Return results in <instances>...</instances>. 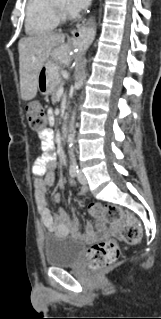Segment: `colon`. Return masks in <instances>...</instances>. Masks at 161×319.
Segmentation results:
<instances>
[{
  "label": "colon",
  "instance_id": "colon-1",
  "mask_svg": "<svg viewBox=\"0 0 161 319\" xmlns=\"http://www.w3.org/2000/svg\"><path fill=\"white\" fill-rule=\"evenodd\" d=\"M26 115L32 129L44 132L46 129V119L43 108L38 103H29L26 107ZM48 149L54 146L46 143ZM89 212L96 219H105L116 223L122 228L124 242L128 244L137 243L142 238V232L138 219L129 214H124L116 205L89 206ZM120 257V249L113 240L101 241L93 244L86 251V262L93 271H101L114 266Z\"/></svg>",
  "mask_w": 161,
  "mask_h": 319
}]
</instances>
